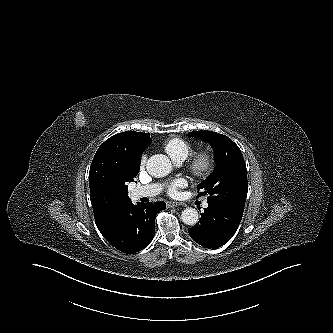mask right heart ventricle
Returning <instances> with one entry per match:
<instances>
[{
    "instance_id": "e07e8e85",
    "label": "right heart ventricle",
    "mask_w": 333,
    "mask_h": 333,
    "mask_svg": "<svg viewBox=\"0 0 333 333\" xmlns=\"http://www.w3.org/2000/svg\"><path fill=\"white\" fill-rule=\"evenodd\" d=\"M163 148L170 156V158L175 162H183L192 153L193 150L191 143L179 137L168 139L164 143Z\"/></svg>"
}]
</instances>
